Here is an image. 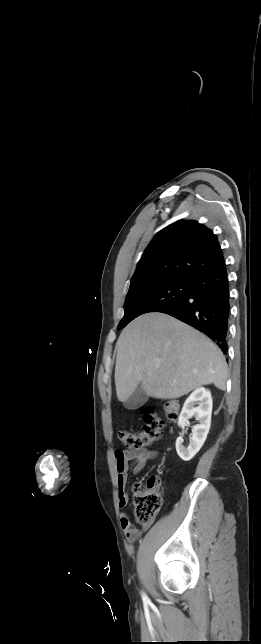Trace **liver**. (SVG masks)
<instances>
[{"instance_id":"1","label":"liver","mask_w":261,"mask_h":644,"mask_svg":"<svg viewBox=\"0 0 261 644\" xmlns=\"http://www.w3.org/2000/svg\"><path fill=\"white\" fill-rule=\"evenodd\" d=\"M115 386L125 402L140 385L147 396L176 399L214 384L225 390L221 350L204 334L163 313H147L124 328L116 343Z\"/></svg>"}]
</instances>
